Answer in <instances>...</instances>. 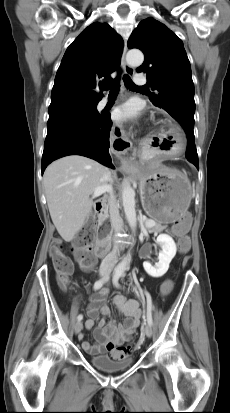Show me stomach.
<instances>
[{
	"instance_id": "obj_1",
	"label": "stomach",
	"mask_w": 230,
	"mask_h": 413,
	"mask_svg": "<svg viewBox=\"0 0 230 413\" xmlns=\"http://www.w3.org/2000/svg\"><path fill=\"white\" fill-rule=\"evenodd\" d=\"M139 177L141 203L150 218L167 224L186 213L192 191L185 174L158 166L142 169Z\"/></svg>"
}]
</instances>
